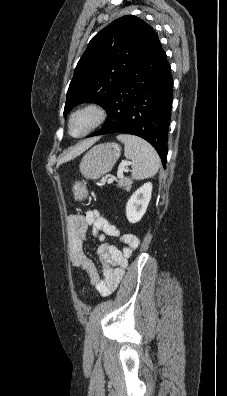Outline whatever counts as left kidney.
<instances>
[{
	"instance_id": "obj_1",
	"label": "left kidney",
	"mask_w": 227,
	"mask_h": 396,
	"mask_svg": "<svg viewBox=\"0 0 227 396\" xmlns=\"http://www.w3.org/2000/svg\"><path fill=\"white\" fill-rule=\"evenodd\" d=\"M151 192L152 184L147 182L129 198L126 204V217L130 223H136L141 220L150 202Z\"/></svg>"
}]
</instances>
